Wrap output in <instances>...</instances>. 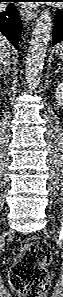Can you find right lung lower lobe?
<instances>
[{
    "mask_svg": "<svg viewBox=\"0 0 63 297\" xmlns=\"http://www.w3.org/2000/svg\"><path fill=\"white\" fill-rule=\"evenodd\" d=\"M22 24L14 7L10 4L6 11L0 12V33H2L14 47L20 40Z\"/></svg>",
    "mask_w": 63,
    "mask_h": 297,
    "instance_id": "obj_1",
    "label": "right lung lower lobe"
}]
</instances>
